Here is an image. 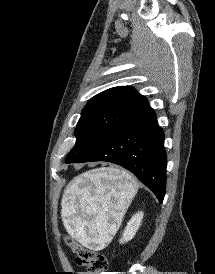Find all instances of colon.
Listing matches in <instances>:
<instances>
[{
    "label": "colon",
    "instance_id": "colon-1",
    "mask_svg": "<svg viewBox=\"0 0 215 274\" xmlns=\"http://www.w3.org/2000/svg\"><path fill=\"white\" fill-rule=\"evenodd\" d=\"M67 244L76 254L77 264L87 268V274H106L108 261L103 254L72 240L68 241Z\"/></svg>",
    "mask_w": 215,
    "mask_h": 274
}]
</instances>
